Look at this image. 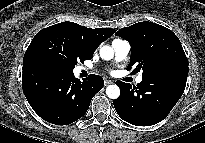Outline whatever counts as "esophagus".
Listing matches in <instances>:
<instances>
[{
  "label": "esophagus",
  "instance_id": "esophagus-1",
  "mask_svg": "<svg viewBox=\"0 0 205 143\" xmlns=\"http://www.w3.org/2000/svg\"><path fill=\"white\" fill-rule=\"evenodd\" d=\"M104 84H105V86H108V85L112 84V81L106 79V80L104 81Z\"/></svg>",
  "mask_w": 205,
  "mask_h": 143
}]
</instances>
